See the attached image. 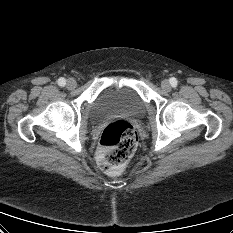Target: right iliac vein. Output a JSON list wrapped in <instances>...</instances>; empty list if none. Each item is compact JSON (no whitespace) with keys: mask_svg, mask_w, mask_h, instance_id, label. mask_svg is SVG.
Here are the masks:
<instances>
[{"mask_svg":"<svg viewBox=\"0 0 233 233\" xmlns=\"http://www.w3.org/2000/svg\"><path fill=\"white\" fill-rule=\"evenodd\" d=\"M77 83L73 78H69L66 83V87L70 90L74 89L76 87Z\"/></svg>","mask_w":233,"mask_h":233,"instance_id":"obj_1","label":"right iliac vein"}]
</instances>
